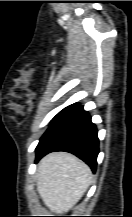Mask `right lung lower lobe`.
<instances>
[{
    "mask_svg": "<svg viewBox=\"0 0 132 217\" xmlns=\"http://www.w3.org/2000/svg\"><path fill=\"white\" fill-rule=\"evenodd\" d=\"M98 145L97 129L90 115L75 103L63 109L52 120L36 148L35 162L50 152L66 151L82 159L95 171Z\"/></svg>",
    "mask_w": 132,
    "mask_h": 217,
    "instance_id": "obj_1",
    "label": "right lung lower lobe"
}]
</instances>
